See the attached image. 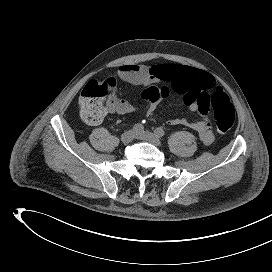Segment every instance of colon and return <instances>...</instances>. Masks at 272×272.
Returning a JSON list of instances; mask_svg holds the SVG:
<instances>
[{
	"label": "colon",
	"mask_w": 272,
	"mask_h": 272,
	"mask_svg": "<svg viewBox=\"0 0 272 272\" xmlns=\"http://www.w3.org/2000/svg\"><path fill=\"white\" fill-rule=\"evenodd\" d=\"M170 91L171 88L168 86L152 85L142 91L141 97L144 101H160L168 97ZM115 95L114 80H90L82 89L78 100L81 118L91 125L100 123L109 112ZM208 106L214 111L217 130L220 133L228 132L235 123V110L222 89L216 88L208 95Z\"/></svg>",
	"instance_id": "5ec220e1"
}]
</instances>
